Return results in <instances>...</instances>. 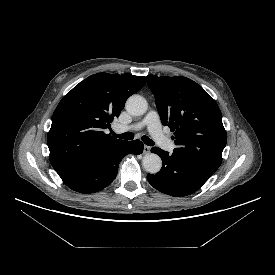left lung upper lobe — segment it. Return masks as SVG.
I'll return each mask as SVG.
<instances>
[{"mask_svg": "<svg viewBox=\"0 0 275 275\" xmlns=\"http://www.w3.org/2000/svg\"><path fill=\"white\" fill-rule=\"evenodd\" d=\"M163 125L174 133V153L213 174L221 165L227 134L213 98L186 77L147 76Z\"/></svg>", "mask_w": 275, "mask_h": 275, "instance_id": "left-lung-upper-lobe-1", "label": "left lung upper lobe"}]
</instances>
